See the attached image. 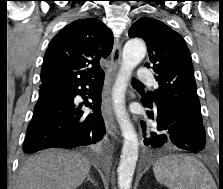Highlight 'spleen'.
I'll list each match as a JSON object with an SVG mask.
<instances>
[{
    "instance_id": "obj_1",
    "label": "spleen",
    "mask_w": 223,
    "mask_h": 189,
    "mask_svg": "<svg viewBox=\"0 0 223 189\" xmlns=\"http://www.w3.org/2000/svg\"><path fill=\"white\" fill-rule=\"evenodd\" d=\"M153 172L169 189H217L207 168L191 156H165L155 163Z\"/></svg>"
}]
</instances>
